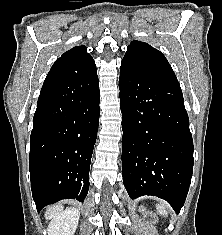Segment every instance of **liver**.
<instances>
[{
	"mask_svg": "<svg viewBox=\"0 0 222 235\" xmlns=\"http://www.w3.org/2000/svg\"><path fill=\"white\" fill-rule=\"evenodd\" d=\"M63 210V206L62 205H54L52 207H50L46 213H45V218L46 219H51L54 216H56L57 214H59L60 212H62Z\"/></svg>",
	"mask_w": 222,
	"mask_h": 235,
	"instance_id": "obj_1",
	"label": "liver"
}]
</instances>
